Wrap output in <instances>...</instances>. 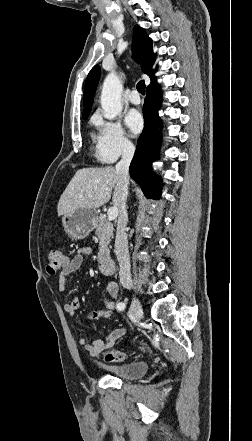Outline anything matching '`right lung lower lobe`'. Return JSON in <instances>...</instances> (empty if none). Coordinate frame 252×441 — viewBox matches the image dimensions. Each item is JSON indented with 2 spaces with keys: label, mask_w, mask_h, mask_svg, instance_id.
Masks as SVG:
<instances>
[{
  "label": "right lung lower lobe",
  "mask_w": 252,
  "mask_h": 441,
  "mask_svg": "<svg viewBox=\"0 0 252 441\" xmlns=\"http://www.w3.org/2000/svg\"><path fill=\"white\" fill-rule=\"evenodd\" d=\"M161 105V89L154 82L147 87V96L143 106L144 130L140 135L135 155L130 165V175L142 188L148 197L158 199L160 190L153 188L152 162L157 158L161 136L159 126L161 121L158 110ZM161 183L160 180L155 181Z\"/></svg>",
  "instance_id": "1"
}]
</instances>
